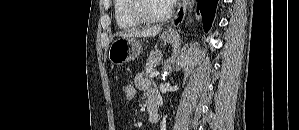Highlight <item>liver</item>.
Listing matches in <instances>:
<instances>
[{"label":"liver","mask_w":299,"mask_h":130,"mask_svg":"<svg viewBox=\"0 0 299 130\" xmlns=\"http://www.w3.org/2000/svg\"><path fill=\"white\" fill-rule=\"evenodd\" d=\"M161 30H162V28L160 26L151 27V28H147V29H143V30L133 29V30H129L124 33H121L120 36L125 37V38L155 37L156 35H158L161 32Z\"/></svg>","instance_id":"obj_1"}]
</instances>
